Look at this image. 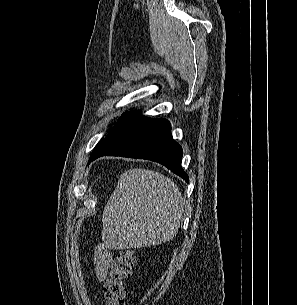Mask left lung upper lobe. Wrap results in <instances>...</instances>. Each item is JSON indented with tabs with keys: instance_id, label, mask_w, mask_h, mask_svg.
Wrapping results in <instances>:
<instances>
[{
	"instance_id": "obj_1",
	"label": "left lung upper lobe",
	"mask_w": 297,
	"mask_h": 305,
	"mask_svg": "<svg viewBox=\"0 0 297 305\" xmlns=\"http://www.w3.org/2000/svg\"><path fill=\"white\" fill-rule=\"evenodd\" d=\"M102 140H103V139H101V140L98 142V144L95 146V148H94L93 152H94V151H95V150H96V149H97V148H98V147L101 145ZM93 152H92V153H93Z\"/></svg>"
}]
</instances>
